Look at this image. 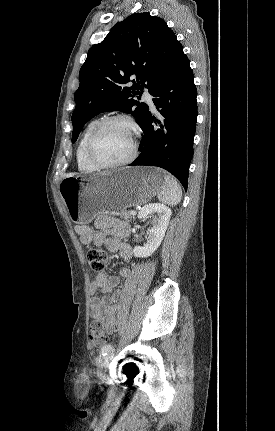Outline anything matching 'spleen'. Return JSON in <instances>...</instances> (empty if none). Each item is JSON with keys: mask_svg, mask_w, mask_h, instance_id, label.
Listing matches in <instances>:
<instances>
[{"mask_svg": "<svg viewBox=\"0 0 275 431\" xmlns=\"http://www.w3.org/2000/svg\"><path fill=\"white\" fill-rule=\"evenodd\" d=\"M158 200L170 206H176L182 198V190L178 182L170 175L164 176L162 190L157 195Z\"/></svg>", "mask_w": 275, "mask_h": 431, "instance_id": "3e777b00", "label": "spleen"}]
</instances>
